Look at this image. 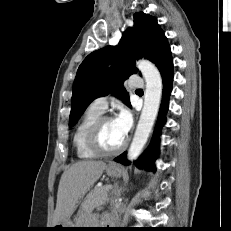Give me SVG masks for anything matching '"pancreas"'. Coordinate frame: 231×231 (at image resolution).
Listing matches in <instances>:
<instances>
[{
    "label": "pancreas",
    "mask_w": 231,
    "mask_h": 231,
    "mask_svg": "<svg viewBox=\"0 0 231 231\" xmlns=\"http://www.w3.org/2000/svg\"><path fill=\"white\" fill-rule=\"evenodd\" d=\"M106 186H102L99 188H95L88 196L87 201L88 205L91 207H99L101 205L106 204L109 201V195ZM83 220V224L90 223V217L81 218Z\"/></svg>",
    "instance_id": "obj_1"
}]
</instances>
